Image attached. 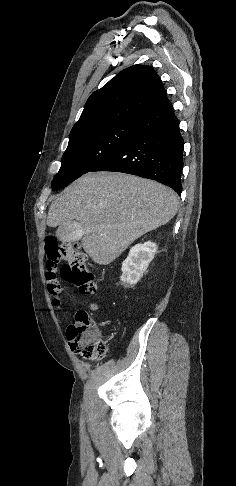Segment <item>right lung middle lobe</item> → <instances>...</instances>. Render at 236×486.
Segmentation results:
<instances>
[{"label": "right lung middle lobe", "mask_w": 236, "mask_h": 486, "mask_svg": "<svg viewBox=\"0 0 236 486\" xmlns=\"http://www.w3.org/2000/svg\"><path fill=\"white\" fill-rule=\"evenodd\" d=\"M138 123H120L95 128L71 136L62 156V165L52 181L59 190L91 171L127 143L137 132Z\"/></svg>", "instance_id": "dd1d6c3e"}]
</instances>
